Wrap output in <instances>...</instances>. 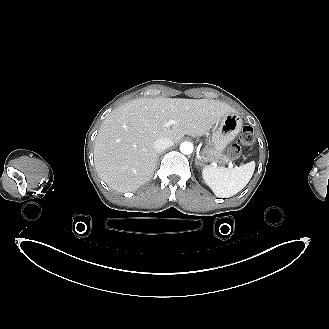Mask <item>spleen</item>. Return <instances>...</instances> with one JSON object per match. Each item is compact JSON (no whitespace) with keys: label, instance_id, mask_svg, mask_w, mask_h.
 <instances>
[{"label":"spleen","instance_id":"3e777b00","mask_svg":"<svg viewBox=\"0 0 329 329\" xmlns=\"http://www.w3.org/2000/svg\"><path fill=\"white\" fill-rule=\"evenodd\" d=\"M255 170V162L228 169L205 166L202 175L205 183L217 197H231L240 192L250 181Z\"/></svg>","mask_w":329,"mask_h":329}]
</instances>
